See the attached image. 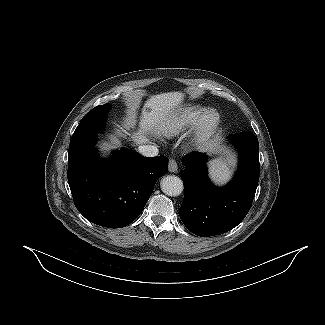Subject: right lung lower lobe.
Here are the masks:
<instances>
[{
  "label": "right lung lower lobe",
  "mask_w": 325,
  "mask_h": 325,
  "mask_svg": "<svg viewBox=\"0 0 325 325\" xmlns=\"http://www.w3.org/2000/svg\"><path fill=\"white\" fill-rule=\"evenodd\" d=\"M97 133L72 135L68 182L76 208L90 222L108 228L130 224L142 212L168 158H145L125 148L99 160Z\"/></svg>",
  "instance_id": "obj_1"
}]
</instances>
